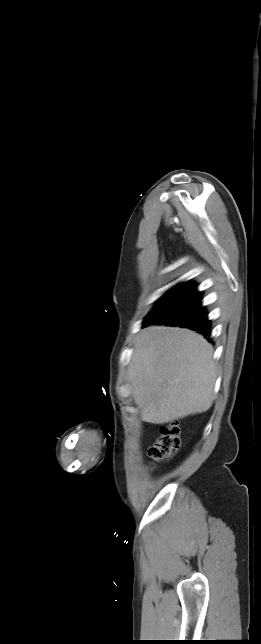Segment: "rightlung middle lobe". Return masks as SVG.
<instances>
[{
  "mask_svg": "<svg viewBox=\"0 0 261 644\" xmlns=\"http://www.w3.org/2000/svg\"><path fill=\"white\" fill-rule=\"evenodd\" d=\"M198 295L199 292H197L196 285L193 283H183L175 286L158 300L156 306L145 318L144 323L166 316Z\"/></svg>",
  "mask_w": 261,
  "mask_h": 644,
  "instance_id": "right-lung-middle-lobe-1",
  "label": "right lung middle lobe"
}]
</instances>
